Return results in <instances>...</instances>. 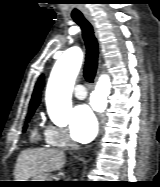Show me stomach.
<instances>
[{
  "instance_id": "0dacf381",
  "label": "stomach",
  "mask_w": 160,
  "mask_h": 187,
  "mask_svg": "<svg viewBox=\"0 0 160 187\" xmlns=\"http://www.w3.org/2000/svg\"><path fill=\"white\" fill-rule=\"evenodd\" d=\"M29 181H39V182H29L24 184L23 186H28V187H48L51 186V182H40V181H52L50 180V177L45 174L42 176H36L32 180Z\"/></svg>"
}]
</instances>
